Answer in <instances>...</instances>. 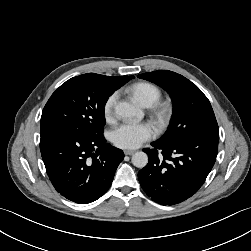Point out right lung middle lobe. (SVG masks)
Masks as SVG:
<instances>
[{
    "label": "right lung middle lobe",
    "instance_id": "dd1d6c3e",
    "mask_svg": "<svg viewBox=\"0 0 251 251\" xmlns=\"http://www.w3.org/2000/svg\"><path fill=\"white\" fill-rule=\"evenodd\" d=\"M114 91L93 73L69 79L46 103L41 116V131L62 127L84 135H102L104 106Z\"/></svg>",
    "mask_w": 251,
    "mask_h": 251
}]
</instances>
